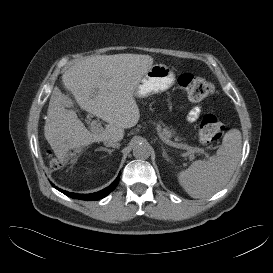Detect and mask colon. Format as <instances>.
Instances as JSON below:
<instances>
[{
	"label": "colon",
	"mask_w": 273,
	"mask_h": 273,
	"mask_svg": "<svg viewBox=\"0 0 273 273\" xmlns=\"http://www.w3.org/2000/svg\"><path fill=\"white\" fill-rule=\"evenodd\" d=\"M180 89L192 100H201L210 96L213 92L212 83L200 76L191 73H182L178 77ZM224 134L222 121L213 114H206L202 117L199 129V139L203 144H211L219 141ZM63 162L52 159L51 167L58 169Z\"/></svg>",
	"instance_id": "obj_1"
}]
</instances>
